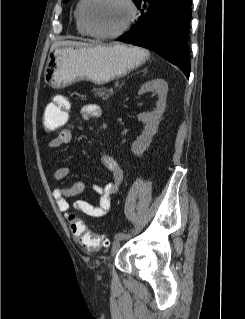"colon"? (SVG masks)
Returning a JSON list of instances; mask_svg holds the SVG:
<instances>
[{
    "label": "colon",
    "instance_id": "5ec220e1",
    "mask_svg": "<svg viewBox=\"0 0 245 319\" xmlns=\"http://www.w3.org/2000/svg\"><path fill=\"white\" fill-rule=\"evenodd\" d=\"M67 119V102L63 98L46 108L43 124L47 131L53 132L61 128ZM70 228L78 243L87 250H98L106 244L103 236L90 232L75 214L69 215Z\"/></svg>",
    "mask_w": 245,
    "mask_h": 319
}]
</instances>
